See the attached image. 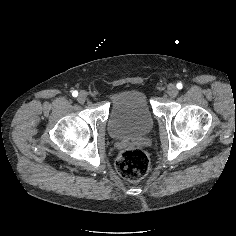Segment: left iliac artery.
<instances>
[{"mask_svg": "<svg viewBox=\"0 0 236 236\" xmlns=\"http://www.w3.org/2000/svg\"><path fill=\"white\" fill-rule=\"evenodd\" d=\"M176 86H177V88H178V89H182V88H183V84H182V83H180V82H179V83H177V85H176Z\"/></svg>", "mask_w": 236, "mask_h": 236, "instance_id": "1", "label": "left iliac artery"}]
</instances>
